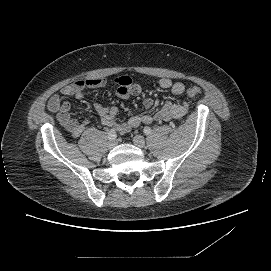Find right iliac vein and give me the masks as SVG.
<instances>
[{"label": "right iliac vein", "instance_id": "63e3f726", "mask_svg": "<svg viewBox=\"0 0 271 271\" xmlns=\"http://www.w3.org/2000/svg\"><path fill=\"white\" fill-rule=\"evenodd\" d=\"M116 144H117V142H116L115 139H114V140H110V141L107 143V147H108L109 149H112V148H114V147L116 146Z\"/></svg>", "mask_w": 271, "mask_h": 271}]
</instances>
